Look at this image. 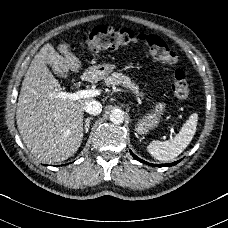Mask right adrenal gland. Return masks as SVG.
Wrapping results in <instances>:
<instances>
[{
	"label": "right adrenal gland",
	"instance_id": "1",
	"mask_svg": "<svg viewBox=\"0 0 228 228\" xmlns=\"http://www.w3.org/2000/svg\"><path fill=\"white\" fill-rule=\"evenodd\" d=\"M92 119H93L92 117H88L85 119V125H84L85 133L89 131V124Z\"/></svg>",
	"mask_w": 228,
	"mask_h": 228
}]
</instances>
